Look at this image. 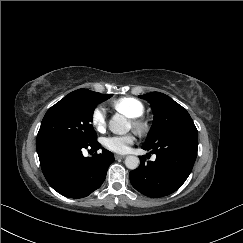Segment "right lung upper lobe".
Instances as JSON below:
<instances>
[{"instance_id":"1","label":"right lung upper lobe","mask_w":243,"mask_h":243,"mask_svg":"<svg viewBox=\"0 0 243 243\" xmlns=\"http://www.w3.org/2000/svg\"><path fill=\"white\" fill-rule=\"evenodd\" d=\"M91 93H94V92L87 90V89H78V90L71 92V94H82V95L91 94Z\"/></svg>"}]
</instances>
